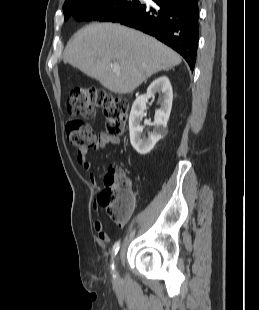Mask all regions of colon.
Returning <instances> with one entry per match:
<instances>
[{"label": "colon", "mask_w": 259, "mask_h": 310, "mask_svg": "<svg viewBox=\"0 0 259 310\" xmlns=\"http://www.w3.org/2000/svg\"><path fill=\"white\" fill-rule=\"evenodd\" d=\"M98 110L105 116L107 134L120 136L124 132L129 110L126 99L97 87H78L71 91L67 100L66 133L70 143L80 148L95 146L98 138L84 118L93 117ZM104 183L97 204L111 221L121 223L134 206L131 187L115 166L109 167Z\"/></svg>", "instance_id": "1"}]
</instances>
